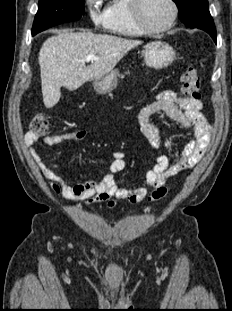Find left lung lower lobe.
<instances>
[{
  "mask_svg": "<svg viewBox=\"0 0 232 311\" xmlns=\"http://www.w3.org/2000/svg\"><path fill=\"white\" fill-rule=\"evenodd\" d=\"M184 24L190 28H198V29H202L206 31L207 33L210 34V36L213 38V40L216 43L215 24L210 15L209 9Z\"/></svg>",
  "mask_w": 232,
  "mask_h": 311,
  "instance_id": "left-lung-lower-lobe-1",
  "label": "left lung lower lobe"
}]
</instances>
